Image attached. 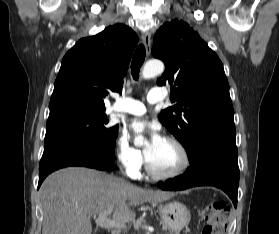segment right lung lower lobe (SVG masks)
I'll return each instance as SVG.
<instances>
[{
    "label": "right lung lower lobe",
    "instance_id": "1",
    "mask_svg": "<svg viewBox=\"0 0 279 234\" xmlns=\"http://www.w3.org/2000/svg\"><path fill=\"white\" fill-rule=\"evenodd\" d=\"M114 158L104 156L91 145L78 140H65L45 147L39 165L38 188L51 172L68 167L83 166L106 170Z\"/></svg>",
    "mask_w": 279,
    "mask_h": 234
}]
</instances>
